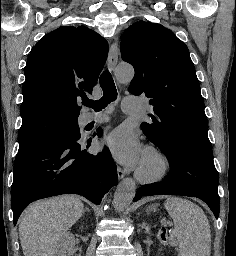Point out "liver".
Here are the masks:
<instances>
[{"label": "liver", "instance_id": "6515ba94", "mask_svg": "<svg viewBox=\"0 0 236 256\" xmlns=\"http://www.w3.org/2000/svg\"><path fill=\"white\" fill-rule=\"evenodd\" d=\"M83 212L77 196H60L29 206L19 220L24 256H61V242Z\"/></svg>", "mask_w": 236, "mask_h": 256}]
</instances>
